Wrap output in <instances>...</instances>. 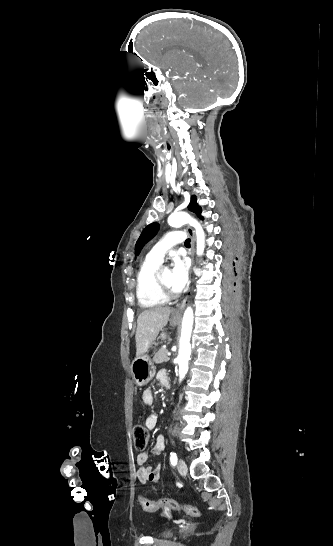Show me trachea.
I'll list each match as a JSON object with an SVG mask.
<instances>
[{
    "label": "trachea",
    "instance_id": "1",
    "mask_svg": "<svg viewBox=\"0 0 333 546\" xmlns=\"http://www.w3.org/2000/svg\"><path fill=\"white\" fill-rule=\"evenodd\" d=\"M185 246L190 247V239H187V240L185 241Z\"/></svg>",
    "mask_w": 333,
    "mask_h": 546
}]
</instances>
